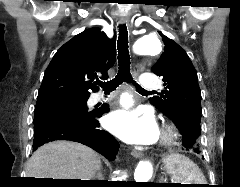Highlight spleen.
I'll return each instance as SVG.
<instances>
[{
    "instance_id": "spleen-1",
    "label": "spleen",
    "mask_w": 240,
    "mask_h": 187,
    "mask_svg": "<svg viewBox=\"0 0 240 187\" xmlns=\"http://www.w3.org/2000/svg\"><path fill=\"white\" fill-rule=\"evenodd\" d=\"M165 167L175 183L205 184L206 180L198 166L186 156L171 154L165 160Z\"/></svg>"
}]
</instances>
